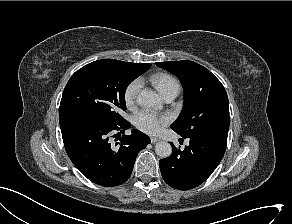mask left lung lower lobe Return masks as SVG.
<instances>
[{"label":"left lung lower lobe","mask_w":292,"mask_h":224,"mask_svg":"<svg viewBox=\"0 0 292 224\" xmlns=\"http://www.w3.org/2000/svg\"><path fill=\"white\" fill-rule=\"evenodd\" d=\"M189 139L183 151L173 145L170 157L159 161L164 181L172 188L188 190L203 183L224 156L225 141L197 137Z\"/></svg>","instance_id":"left-lung-lower-lobe-1"}]
</instances>
